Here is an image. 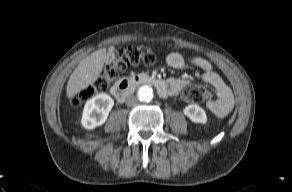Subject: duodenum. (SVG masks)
<instances>
[{"instance_id":"1","label":"duodenum","mask_w":292,"mask_h":192,"mask_svg":"<svg viewBox=\"0 0 292 192\" xmlns=\"http://www.w3.org/2000/svg\"><path fill=\"white\" fill-rule=\"evenodd\" d=\"M147 84L153 86L161 96L168 95V83L165 80L152 78L146 75H137L120 80L112 88V94L119 102H123L137 86Z\"/></svg>"}]
</instances>
